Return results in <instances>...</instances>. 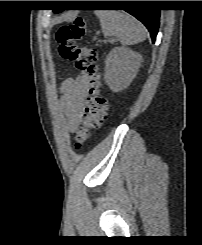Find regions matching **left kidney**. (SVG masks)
<instances>
[{"instance_id":"1","label":"left kidney","mask_w":202,"mask_h":245,"mask_svg":"<svg viewBox=\"0 0 202 245\" xmlns=\"http://www.w3.org/2000/svg\"><path fill=\"white\" fill-rule=\"evenodd\" d=\"M142 56L126 47H115L105 60L104 79L113 92L126 89L138 72Z\"/></svg>"}]
</instances>
